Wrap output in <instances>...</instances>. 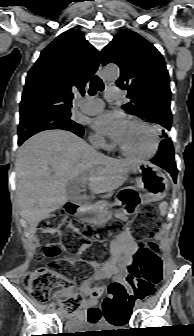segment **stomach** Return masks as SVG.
<instances>
[{"mask_svg": "<svg viewBox=\"0 0 194 336\" xmlns=\"http://www.w3.org/2000/svg\"><path fill=\"white\" fill-rule=\"evenodd\" d=\"M133 173L138 174L136 178V187L128 188L119 195L128 212L133 213L141 205L160 201L166 195L169 183L164 174L158 168L148 162H141L131 169ZM109 216L106 210L90 211L80 210L78 217L86 222L95 224H104Z\"/></svg>", "mask_w": 194, "mask_h": 336, "instance_id": "stomach-1", "label": "stomach"}]
</instances>
